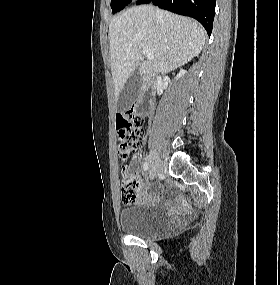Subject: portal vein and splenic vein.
<instances>
[{"mask_svg":"<svg viewBox=\"0 0 280 285\" xmlns=\"http://www.w3.org/2000/svg\"><path fill=\"white\" fill-rule=\"evenodd\" d=\"M143 54L149 60H152L154 58L153 52L148 47H143Z\"/></svg>","mask_w":280,"mask_h":285,"instance_id":"18ae733b","label":"portal vein and splenic vein"}]
</instances>
